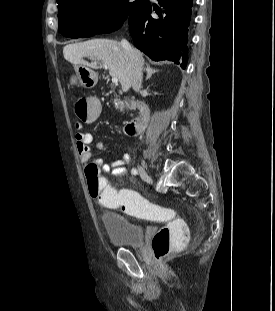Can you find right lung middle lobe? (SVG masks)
I'll return each instance as SVG.
<instances>
[{
	"label": "right lung middle lobe",
	"mask_w": 275,
	"mask_h": 311,
	"mask_svg": "<svg viewBox=\"0 0 275 311\" xmlns=\"http://www.w3.org/2000/svg\"><path fill=\"white\" fill-rule=\"evenodd\" d=\"M147 0H69L58 6L59 32L78 38L87 29L109 33L121 27L124 20ZM115 6V7H113Z\"/></svg>",
	"instance_id": "1"
}]
</instances>
